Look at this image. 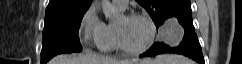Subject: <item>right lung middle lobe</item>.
Masks as SVG:
<instances>
[{
    "label": "right lung middle lobe",
    "mask_w": 242,
    "mask_h": 64,
    "mask_svg": "<svg viewBox=\"0 0 242 64\" xmlns=\"http://www.w3.org/2000/svg\"><path fill=\"white\" fill-rule=\"evenodd\" d=\"M84 14L85 12L45 17L41 64H46L57 54L82 50L78 32Z\"/></svg>",
    "instance_id": "1"
}]
</instances>
